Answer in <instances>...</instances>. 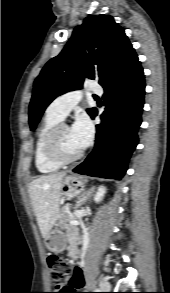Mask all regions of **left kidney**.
Returning a JSON list of instances; mask_svg holds the SVG:
<instances>
[{
    "mask_svg": "<svg viewBox=\"0 0 170 293\" xmlns=\"http://www.w3.org/2000/svg\"><path fill=\"white\" fill-rule=\"evenodd\" d=\"M105 193H106V188L104 186H99L94 196V201L96 203L100 202L103 199Z\"/></svg>",
    "mask_w": 170,
    "mask_h": 293,
    "instance_id": "left-kidney-1",
    "label": "left kidney"
}]
</instances>
